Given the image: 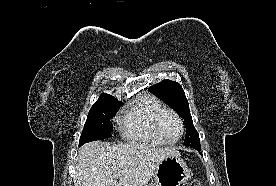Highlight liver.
I'll list each match as a JSON object with an SVG mask.
<instances>
[{
	"label": "liver",
	"instance_id": "obj_1",
	"mask_svg": "<svg viewBox=\"0 0 276 186\" xmlns=\"http://www.w3.org/2000/svg\"><path fill=\"white\" fill-rule=\"evenodd\" d=\"M176 154L175 148L146 143L90 142L78 151L74 186H146L159 164ZM117 173H122L119 182Z\"/></svg>",
	"mask_w": 276,
	"mask_h": 186
}]
</instances>
